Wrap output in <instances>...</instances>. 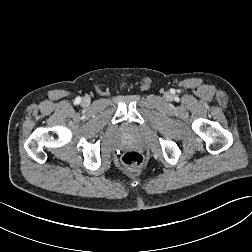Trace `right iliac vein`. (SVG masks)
<instances>
[{"label":"right iliac vein","instance_id":"right-iliac-vein-1","mask_svg":"<svg viewBox=\"0 0 252 252\" xmlns=\"http://www.w3.org/2000/svg\"><path fill=\"white\" fill-rule=\"evenodd\" d=\"M89 104H90V99L87 97L83 98L81 105L84 107H87V106H89Z\"/></svg>","mask_w":252,"mask_h":252}]
</instances>
